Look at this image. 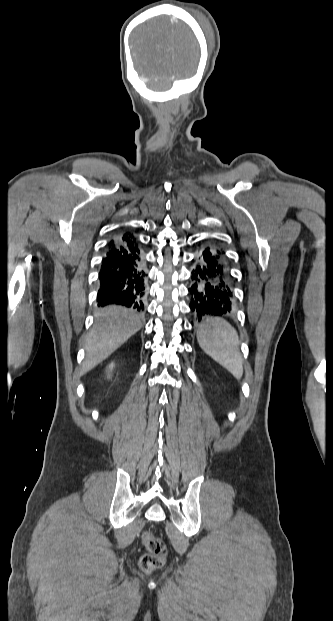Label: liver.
Returning a JSON list of instances; mask_svg holds the SVG:
<instances>
[{
    "mask_svg": "<svg viewBox=\"0 0 333 621\" xmlns=\"http://www.w3.org/2000/svg\"><path fill=\"white\" fill-rule=\"evenodd\" d=\"M141 327L139 316L132 310L116 306L101 309L85 342L86 358L82 372H88L108 358Z\"/></svg>",
    "mask_w": 333,
    "mask_h": 621,
    "instance_id": "1",
    "label": "liver"
}]
</instances>
